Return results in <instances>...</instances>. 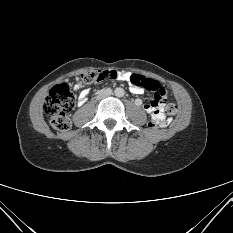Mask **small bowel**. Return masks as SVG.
Wrapping results in <instances>:
<instances>
[{
  "label": "small bowel",
  "mask_w": 233,
  "mask_h": 233,
  "mask_svg": "<svg viewBox=\"0 0 233 233\" xmlns=\"http://www.w3.org/2000/svg\"><path fill=\"white\" fill-rule=\"evenodd\" d=\"M132 74L128 72H120V71H115V70H107L102 72L99 75V78L102 81H105L107 79H112V80H121V81H126L130 84L129 79ZM75 89L80 90L79 96H78V104L83 105L88 97L89 91L88 89H85L82 87L81 84L77 83L74 86ZM130 91L133 94L140 95L143 93L142 88H137L134 87L130 84ZM137 104H141V100H137ZM143 109L151 114V118L155 115L158 114L162 120V126H166L169 122L168 118L164 114V102H160L159 104H154L153 101L150 103H145L143 104Z\"/></svg>",
  "instance_id": "1"
}]
</instances>
